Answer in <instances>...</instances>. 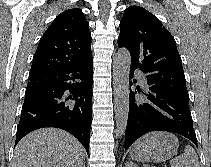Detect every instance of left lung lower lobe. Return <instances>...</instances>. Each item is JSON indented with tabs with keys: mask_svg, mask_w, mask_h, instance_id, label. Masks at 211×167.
Listing matches in <instances>:
<instances>
[{
	"mask_svg": "<svg viewBox=\"0 0 211 167\" xmlns=\"http://www.w3.org/2000/svg\"><path fill=\"white\" fill-rule=\"evenodd\" d=\"M130 69V86L136 82L134 71ZM148 90L135 92L130 88V103L127 127L125 131V150L139 137L151 131H169L181 134L197 146L196 134L188 104L189 100L167 90L156 87L147 81ZM145 95L141 100L136 93Z\"/></svg>",
	"mask_w": 211,
	"mask_h": 167,
	"instance_id": "0a47b994",
	"label": "left lung lower lobe"
}]
</instances>
